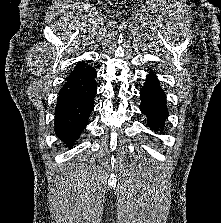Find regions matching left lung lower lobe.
<instances>
[{
  "instance_id": "0a47b994",
  "label": "left lung lower lobe",
  "mask_w": 221,
  "mask_h": 223,
  "mask_svg": "<svg viewBox=\"0 0 221 223\" xmlns=\"http://www.w3.org/2000/svg\"><path fill=\"white\" fill-rule=\"evenodd\" d=\"M140 109L147 116L148 126L152 130L164 129V121L168 116L166 95L160 87L157 77L153 74L147 76L145 85L140 90Z\"/></svg>"
}]
</instances>
